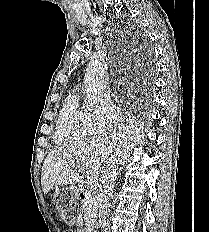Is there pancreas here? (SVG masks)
Here are the masks:
<instances>
[{
	"mask_svg": "<svg viewBox=\"0 0 209 232\" xmlns=\"http://www.w3.org/2000/svg\"><path fill=\"white\" fill-rule=\"evenodd\" d=\"M81 205L85 214L86 229L87 231H91V229L94 227L97 215L98 201L96 197L90 195L89 193H86L85 199L82 201Z\"/></svg>",
	"mask_w": 209,
	"mask_h": 232,
	"instance_id": "cf45deb5",
	"label": "pancreas"
}]
</instances>
